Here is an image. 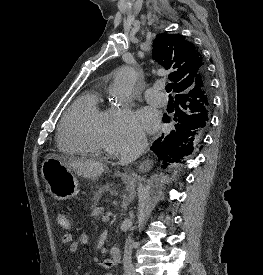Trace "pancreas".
<instances>
[{
	"mask_svg": "<svg viewBox=\"0 0 263 275\" xmlns=\"http://www.w3.org/2000/svg\"><path fill=\"white\" fill-rule=\"evenodd\" d=\"M99 198H100V194L99 193H97L95 195V197L93 198V204L91 206V209H92L91 216L94 217V218H97V217L101 216L103 214V212H104V208L103 207H98Z\"/></svg>",
	"mask_w": 263,
	"mask_h": 275,
	"instance_id": "obj_1",
	"label": "pancreas"
}]
</instances>
